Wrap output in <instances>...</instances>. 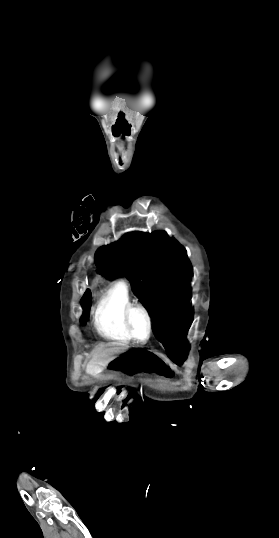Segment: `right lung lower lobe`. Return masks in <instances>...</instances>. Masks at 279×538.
Wrapping results in <instances>:
<instances>
[{"instance_id":"obj_1","label":"right lung lower lobe","mask_w":279,"mask_h":538,"mask_svg":"<svg viewBox=\"0 0 279 538\" xmlns=\"http://www.w3.org/2000/svg\"><path fill=\"white\" fill-rule=\"evenodd\" d=\"M91 305V291L89 289L86 290V292L84 293L82 299H81V306L84 310V314H83V317L81 319V321L84 323L86 322L87 320V312H88V309Z\"/></svg>"}]
</instances>
